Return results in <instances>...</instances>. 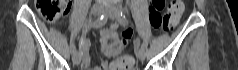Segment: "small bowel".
<instances>
[{
	"mask_svg": "<svg viewBox=\"0 0 238 70\" xmlns=\"http://www.w3.org/2000/svg\"><path fill=\"white\" fill-rule=\"evenodd\" d=\"M120 40L118 39V25L114 24L109 28H103L100 32V47L102 54L107 58H113L118 56L122 49ZM80 50L83 56L84 70H90L89 68V51L90 42L87 38L82 37L80 40ZM110 66L108 61L102 60L100 65L96 66L93 70H109Z\"/></svg>",
	"mask_w": 238,
	"mask_h": 70,
	"instance_id": "1",
	"label": "small bowel"
}]
</instances>
